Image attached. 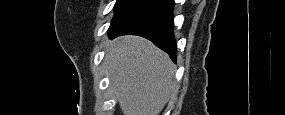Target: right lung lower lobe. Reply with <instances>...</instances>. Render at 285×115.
Returning <instances> with one entry per match:
<instances>
[{"mask_svg":"<svg viewBox=\"0 0 285 115\" xmlns=\"http://www.w3.org/2000/svg\"><path fill=\"white\" fill-rule=\"evenodd\" d=\"M173 0H158L136 13L109 33L113 39L121 35H139L152 41L176 61V42L173 35Z\"/></svg>","mask_w":285,"mask_h":115,"instance_id":"right-lung-lower-lobe-1","label":"right lung lower lobe"}]
</instances>
